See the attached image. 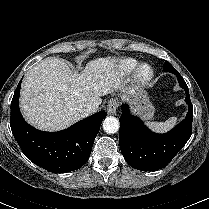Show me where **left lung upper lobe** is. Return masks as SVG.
<instances>
[{
	"label": "left lung upper lobe",
	"mask_w": 209,
	"mask_h": 209,
	"mask_svg": "<svg viewBox=\"0 0 209 209\" xmlns=\"http://www.w3.org/2000/svg\"><path fill=\"white\" fill-rule=\"evenodd\" d=\"M164 70L172 73L176 71V69L168 61H165L164 63Z\"/></svg>",
	"instance_id": "1"
}]
</instances>
